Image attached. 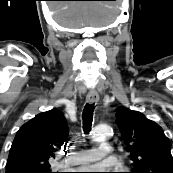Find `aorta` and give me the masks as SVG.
I'll use <instances>...</instances> for the list:
<instances>
[{
	"instance_id": "762f6f07",
	"label": "aorta",
	"mask_w": 173,
	"mask_h": 173,
	"mask_svg": "<svg viewBox=\"0 0 173 173\" xmlns=\"http://www.w3.org/2000/svg\"><path fill=\"white\" fill-rule=\"evenodd\" d=\"M111 134L112 129L108 125L96 126L92 131V137L97 141L104 140L111 136Z\"/></svg>"
}]
</instances>
